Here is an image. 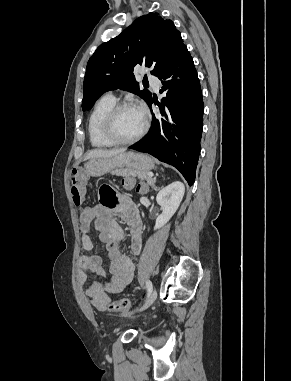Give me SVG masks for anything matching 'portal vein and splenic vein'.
<instances>
[{"label":"portal vein and splenic vein","instance_id":"obj_1","mask_svg":"<svg viewBox=\"0 0 291 381\" xmlns=\"http://www.w3.org/2000/svg\"><path fill=\"white\" fill-rule=\"evenodd\" d=\"M147 175L148 177H151V178L153 177V173H148Z\"/></svg>","mask_w":291,"mask_h":381}]
</instances>
